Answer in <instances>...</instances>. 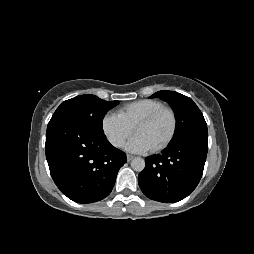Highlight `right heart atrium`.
<instances>
[{"label": "right heart atrium", "mask_w": 254, "mask_h": 254, "mask_svg": "<svg viewBox=\"0 0 254 254\" xmlns=\"http://www.w3.org/2000/svg\"><path fill=\"white\" fill-rule=\"evenodd\" d=\"M101 129L106 139L115 148L123 147L134 130L118 114L112 112L106 113L102 118Z\"/></svg>", "instance_id": "d8ad5b80"}]
</instances>
